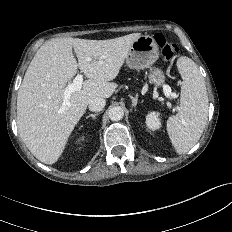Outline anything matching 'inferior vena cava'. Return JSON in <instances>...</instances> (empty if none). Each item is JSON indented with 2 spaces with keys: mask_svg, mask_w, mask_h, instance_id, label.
I'll list each match as a JSON object with an SVG mask.
<instances>
[{
  "mask_svg": "<svg viewBox=\"0 0 232 232\" xmlns=\"http://www.w3.org/2000/svg\"><path fill=\"white\" fill-rule=\"evenodd\" d=\"M106 105L104 98L96 97L89 102L88 108L90 111L99 112L103 110Z\"/></svg>",
  "mask_w": 232,
  "mask_h": 232,
  "instance_id": "inferior-vena-cava-1",
  "label": "inferior vena cava"
}]
</instances>
